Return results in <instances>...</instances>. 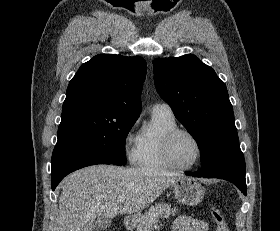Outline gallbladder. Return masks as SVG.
I'll use <instances>...</instances> for the list:
<instances>
[{
    "instance_id": "obj_1",
    "label": "gallbladder",
    "mask_w": 280,
    "mask_h": 231,
    "mask_svg": "<svg viewBox=\"0 0 280 231\" xmlns=\"http://www.w3.org/2000/svg\"><path fill=\"white\" fill-rule=\"evenodd\" d=\"M112 225V221L110 217H103V215H98L95 221L92 223V229H96V231H100V229H107Z\"/></svg>"
}]
</instances>
